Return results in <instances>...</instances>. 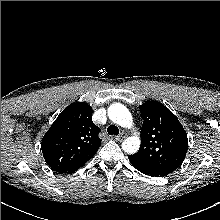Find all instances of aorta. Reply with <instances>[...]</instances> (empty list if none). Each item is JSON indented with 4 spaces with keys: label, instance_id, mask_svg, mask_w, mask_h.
<instances>
[{
    "label": "aorta",
    "instance_id": "1",
    "mask_svg": "<svg viewBox=\"0 0 220 220\" xmlns=\"http://www.w3.org/2000/svg\"><path fill=\"white\" fill-rule=\"evenodd\" d=\"M109 118L116 124L124 127L131 128L133 124L132 115L129 110L122 104H112L108 108ZM140 147V139L137 136H131L122 142V149L128 154H134Z\"/></svg>",
    "mask_w": 220,
    "mask_h": 220
}]
</instances>
